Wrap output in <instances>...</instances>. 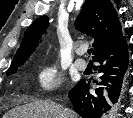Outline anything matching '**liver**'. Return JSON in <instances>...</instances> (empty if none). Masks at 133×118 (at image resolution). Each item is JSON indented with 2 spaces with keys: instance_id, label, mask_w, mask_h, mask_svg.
I'll return each mask as SVG.
<instances>
[{
  "instance_id": "liver-1",
  "label": "liver",
  "mask_w": 133,
  "mask_h": 118,
  "mask_svg": "<svg viewBox=\"0 0 133 118\" xmlns=\"http://www.w3.org/2000/svg\"><path fill=\"white\" fill-rule=\"evenodd\" d=\"M60 110L63 111L64 118H77L73 111L48 101H35L14 108L3 118H60Z\"/></svg>"
}]
</instances>
